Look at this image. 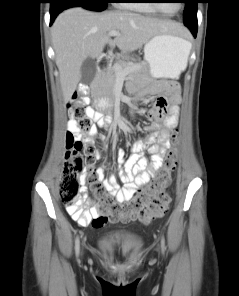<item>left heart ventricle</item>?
<instances>
[{"instance_id": "b2bd125f", "label": "left heart ventricle", "mask_w": 239, "mask_h": 296, "mask_svg": "<svg viewBox=\"0 0 239 296\" xmlns=\"http://www.w3.org/2000/svg\"><path fill=\"white\" fill-rule=\"evenodd\" d=\"M160 7L167 13H173L177 10L178 3H174L167 0L159 1Z\"/></svg>"}]
</instances>
